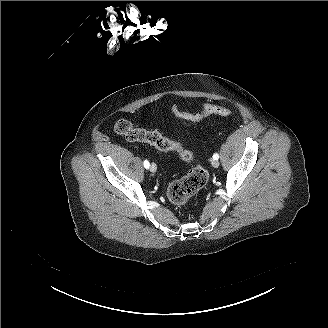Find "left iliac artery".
Instances as JSON below:
<instances>
[{
  "instance_id": "44dca946",
  "label": "left iliac artery",
  "mask_w": 328,
  "mask_h": 328,
  "mask_svg": "<svg viewBox=\"0 0 328 328\" xmlns=\"http://www.w3.org/2000/svg\"><path fill=\"white\" fill-rule=\"evenodd\" d=\"M213 158L217 160L219 158V155L216 153L213 155Z\"/></svg>"
}]
</instances>
